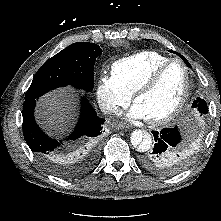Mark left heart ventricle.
<instances>
[{
	"mask_svg": "<svg viewBox=\"0 0 221 221\" xmlns=\"http://www.w3.org/2000/svg\"><path fill=\"white\" fill-rule=\"evenodd\" d=\"M186 85L182 64L176 62L163 73L156 86L140 96L136 103L148 119L159 118L169 113L181 99Z\"/></svg>",
	"mask_w": 221,
	"mask_h": 221,
	"instance_id": "left-heart-ventricle-1",
	"label": "left heart ventricle"
}]
</instances>
